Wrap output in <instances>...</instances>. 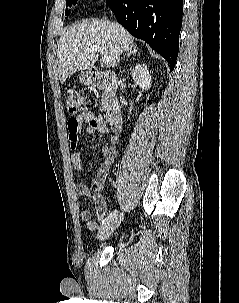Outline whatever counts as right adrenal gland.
I'll use <instances>...</instances> for the list:
<instances>
[{
    "label": "right adrenal gland",
    "mask_w": 239,
    "mask_h": 303,
    "mask_svg": "<svg viewBox=\"0 0 239 303\" xmlns=\"http://www.w3.org/2000/svg\"><path fill=\"white\" fill-rule=\"evenodd\" d=\"M136 54L139 56L140 52L138 51V48L136 46H134L131 51H129L122 57V59H124L125 57H130L131 55H136Z\"/></svg>",
    "instance_id": "1"
}]
</instances>
